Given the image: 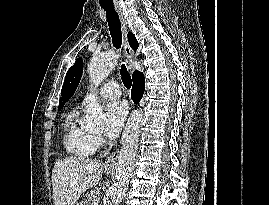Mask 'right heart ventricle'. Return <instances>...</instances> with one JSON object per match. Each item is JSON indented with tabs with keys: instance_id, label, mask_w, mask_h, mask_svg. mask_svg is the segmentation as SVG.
I'll list each match as a JSON object with an SVG mask.
<instances>
[{
	"instance_id": "e07e8e85",
	"label": "right heart ventricle",
	"mask_w": 269,
	"mask_h": 205,
	"mask_svg": "<svg viewBox=\"0 0 269 205\" xmlns=\"http://www.w3.org/2000/svg\"><path fill=\"white\" fill-rule=\"evenodd\" d=\"M79 112H69L64 123L63 145L66 152L75 158H89L96 151L94 136L79 124Z\"/></svg>"
}]
</instances>
